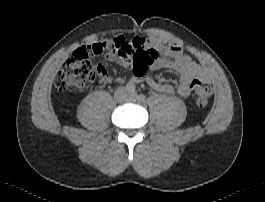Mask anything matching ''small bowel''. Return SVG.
<instances>
[{
	"mask_svg": "<svg viewBox=\"0 0 265 202\" xmlns=\"http://www.w3.org/2000/svg\"><path fill=\"white\" fill-rule=\"evenodd\" d=\"M148 48H153L157 51L158 56L149 63V75L146 78L147 84L152 89L171 94L176 91L182 97H188L191 94V83L197 80L200 74L198 65L183 51L175 45L167 44L160 39L153 36H149L147 45ZM85 49H79L76 54L82 53ZM106 59L110 62H115L123 67H129L131 65V56H123L119 53H107ZM169 69L175 71L179 75V84L175 87L169 83H162L158 81L154 73ZM119 82H122V78H118ZM130 82L138 83V78H132Z\"/></svg>",
	"mask_w": 265,
	"mask_h": 202,
	"instance_id": "small-bowel-1",
	"label": "small bowel"
}]
</instances>
